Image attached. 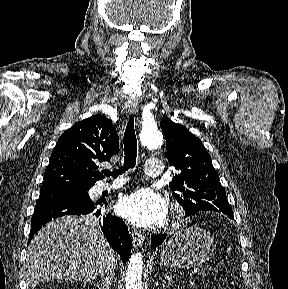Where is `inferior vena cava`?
<instances>
[{
    "label": "inferior vena cava",
    "instance_id": "602c4592",
    "mask_svg": "<svg viewBox=\"0 0 288 289\" xmlns=\"http://www.w3.org/2000/svg\"><path fill=\"white\" fill-rule=\"evenodd\" d=\"M113 268H114V265L110 264V265H108L106 270L101 273V276H102V280L101 281H102V285H103L104 289H107V286L109 287V285L112 282V279H113Z\"/></svg>",
    "mask_w": 288,
    "mask_h": 289
}]
</instances>
